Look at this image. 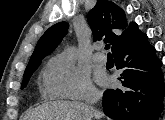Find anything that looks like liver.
Here are the masks:
<instances>
[{
	"label": "liver",
	"instance_id": "1",
	"mask_svg": "<svg viewBox=\"0 0 165 120\" xmlns=\"http://www.w3.org/2000/svg\"><path fill=\"white\" fill-rule=\"evenodd\" d=\"M93 116L100 118L102 113L77 101H53L32 110L26 120H91Z\"/></svg>",
	"mask_w": 165,
	"mask_h": 120
}]
</instances>
